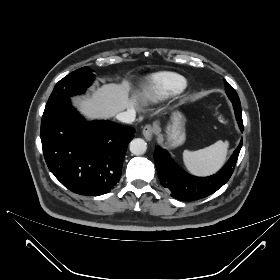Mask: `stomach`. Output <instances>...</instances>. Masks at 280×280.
Segmentation results:
<instances>
[{
	"label": "stomach",
	"instance_id": "0dacf381",
	"mask_svg": "<svg viewBox=\"0 0 280 280\" xmlns=\"http://www.w3.org/2000/svg\"><path fill=\"white\" fill-rule=\"evenodd\" d=\"M171 124L167 126L166 137L167 144L171 148H176L185 142V117L182 113L176 111L171 116Z\"/></svg>",
	"mask_w": 280,
	"mask_h": 280
}]
</instances>
